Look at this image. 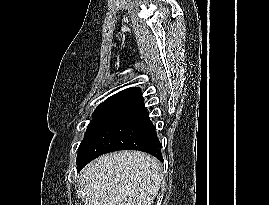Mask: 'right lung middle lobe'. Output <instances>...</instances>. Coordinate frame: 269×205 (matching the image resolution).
Here are the masks:
<instances>
[{"label": "right lung middle lobe", "instance_id": "right-lung-middle-lobe-1", "mask_svg": "<svg viewBox=\"0 0 269 205\" xmlns=\"http://www.w3.org/2000/svg\"><path fill=\"white\" fill-rule=\"evenodd\" d=\"M126 109L123 107L116 106H98L93 113V119L89 123L88 128L86 130L85 137L81 142L77 161L80 157L83 149L90 143V141L117 115L125 111ZM76 161V162H77Z\"/></svg>", "mask_w": 269, "mask_h": 205}]
</instances>
